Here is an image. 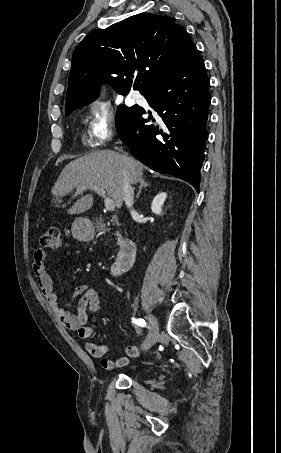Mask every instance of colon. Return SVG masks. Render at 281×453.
<instances>
[{
  "label": "colon",
  "instance_id": "colon-1",
  "mask_svg": "<svg viewBox=\"0 0 281 453\" xmlns=\"http://www.w3.org/2000/svg\"><path fill=\"white\" fill-rule=\"evenodd\" d=\"M60 232V227L58 226H49L47 227L46 232L42 235L40 240V245H44L47 253H52L58 250V236Z\"/></svg>",
  "mask_w": 281,
  "mask_h": 453
}]
</instances>
